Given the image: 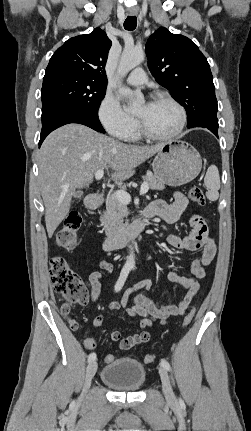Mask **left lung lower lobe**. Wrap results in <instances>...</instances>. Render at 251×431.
Here are the masks:
<instances>
[{"label":"left lung lower lobe","mask_w":251,"mask_h":431,"mask_svg":"<svg viewBox=\"0 0 251 431\" xmlns=\"http://www.w3.org/2000/svg\"><path fill=\"white\" fill-rule=\"evenodd\" d=\"M195 127H203L209 129L213 134L218 137V126L198 125Z\"/></svg>","instance_id":"0a47b994"}]
</instances>
